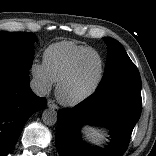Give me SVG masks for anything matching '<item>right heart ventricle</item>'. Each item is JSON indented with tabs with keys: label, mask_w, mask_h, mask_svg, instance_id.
Here are the masks:
<instances>
[{
	"label": "right heart ventricle",
	"mask_w": 156,
	"mask_h": 156,
	"mask_svg": "<svg viewBox=\"0 0 156 156\" xmlns=\"http://www.w3.org/2000/svg\"><path fill=\"white\" fill-rule=\"evenodd\" d=\"M92 49L70 41L50 45L43 54V64L53 83H57L63 77L80 54Z\"/></svg>",
	"instance_id": "right-heart-ventricle-1"
}]
</instances>
